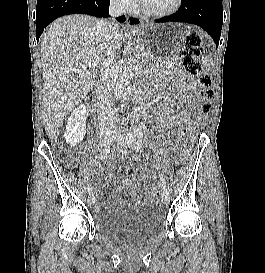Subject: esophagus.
I'll list each match as a JSON object with an SVG mask.
<instances>
[{"label": "esophagus", "instance_id": "esophagus-1", "mask_svg": "<svg viewBox=\"0 0 265 273\" xmlns=\"http://www.w3.org/2000/svg\"><path fill=\"white\" fill-rule=\"evenodd\" d=\"M142 23H143L142 20L135 16L128 17V24L132 27L140 26L142 25Z\"/></svg>", "mask_w": 265, "mask_h": 273}]
</instances>
